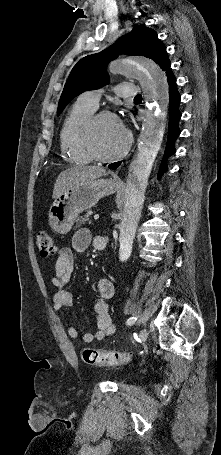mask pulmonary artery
Wrapping results in <instances>:
<instances>
[{
  "label": "pulmonary artery",
  "mask_w": 221,
  "mask_h": 455,
  "mask_svg": "<svg viewBox=\"0 0 221 455\" xmlns=\"http://www.w3.org/2000/svg\"><path fill=\"white\" fill-rule=\"evenodd\" d=\"M116 93L119 96H136L138 94V88L131 83H120L115 88ZM102 90H89L81 94L79 97L81 101L96 109L98 107V102L101 97Z\"/></svg>",
  "instance_id": "obj_1"
}]
</instances>
